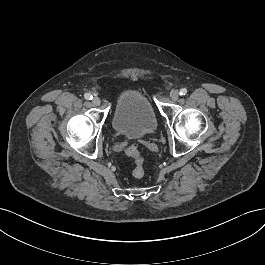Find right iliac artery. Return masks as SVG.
Segmentation results:
<instances>
[{"instance_id": "1", "label": "right iliac artery", "mask_w": 265, "mask_h": 265, "mask_svg": "<svg viewBox=\"0 0 265 265\" xmlns=\"http://www.w3.org/2000/svg\"><path fill=\"white\" fill-rule=\"evenodd\" d=\"M84 98L87 100H91L93 98V96L90 93H85Z\"/></svg>"}]
</instances>
